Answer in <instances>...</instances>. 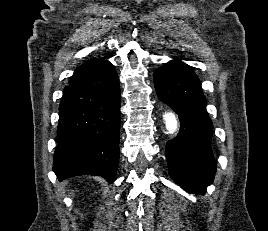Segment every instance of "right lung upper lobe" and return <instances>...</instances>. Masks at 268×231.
<instances>
[{"label": "right lung upper lobe", "mask_w": 268, "mask_h": 231, "mask_svg": "<svg viewBox=\"0 0 268 231\" xmlns=\"http://www.w3.org/2000/svg\"><path fill=\"white\" fill-rule=\"evenodd\" d=\"M104 60L100 59H91L89 61L84 62L79 67L76 68L71 81L84 77L89 74L93 69H95L99 64H101ZM70 81V82H71Z\"/></svg>", "instance_id": "cb5924a9"}]
</instances>
